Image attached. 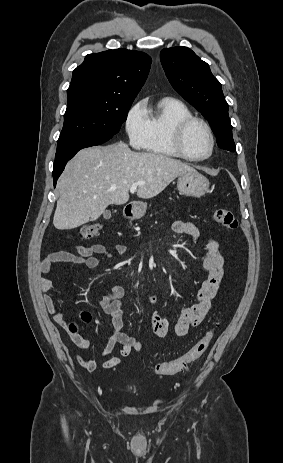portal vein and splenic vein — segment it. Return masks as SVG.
Returning <instances> with one entry per match:
<instances>
[{"label":"portal vein and splenic vein","mask_w":283,"mask_h":463,"mask_svg":"<svg viewBox=\"0 0 283 463\" xmlns=\"http://www.w3.org/2000/svg\"><path fill=\"white\" fill-rule=\"evenodd\" d=\"M140 185H144V182H135V183H133V184L131 185V187H130V192H131V193L136 192L137 187L140 186Z\"/></svg>","instance_id":"portal-vein-and-splenic-vein-1"}]
</instances>
